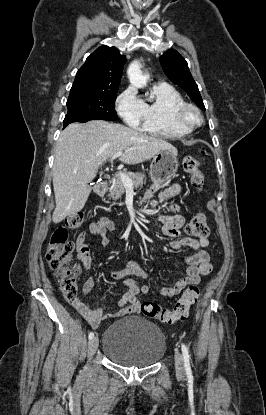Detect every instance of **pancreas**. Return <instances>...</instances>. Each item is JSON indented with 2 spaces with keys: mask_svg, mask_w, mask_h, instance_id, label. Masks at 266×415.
Instances as JSON below:
<instances>
[{
  "mask_svg": "<svg viewBox=\"0 0 266 415\" xmlns=\"http://www.w3.org/2000/svg\"><path fill=\"white\" fill-rule=\"evenodd\" d=\"M125 174L131 179L133 182V187L137 188L141 184L146 182V177L142 173H133V172H125ZM110 186L108 187V197L114 200L119 199L125 193V186L121 181L119 176L112 178L109 182Z\"/></svg>",
  "mask_w": 266,
  "mask_h": 415,
  "instance_id": "cf45deb5",
  "label": "pancreas"
}]
</instances>
